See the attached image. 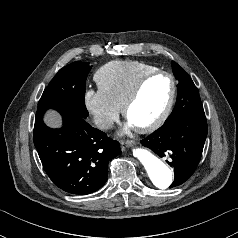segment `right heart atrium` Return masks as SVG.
<instances>
[{"label":"right heart atrium","instance_id":"right-heart-atrium-1","mask_svg":"<svg viewBox=\"0 0 238 238\" xmlns=\"http://www.w3.org/2000/svg\"><path fill=\"white\" fill-rule=\"evenodd\" d=\"M84 103L96 126L109 130L119 117L120 109L111 103L98 89L85 92Z\"/></svg>","mask_w":238,"mask_h":238}]
</instances>
